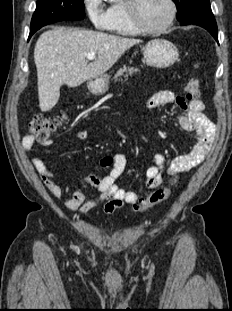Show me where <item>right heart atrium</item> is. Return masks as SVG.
Listing matches in <instances>:
<instances>
[{
	"mask_svg": "<svg viewBox=\"0 0 232 311\" xmlns=\"http://www.w3.org/2000/svg\"><path fill=\"white\" fill-rule=\"evenodd\" d=\"M84 9L97 30H104L109 23L108 9L104 7L103 0H83Z\"/></svg>",
	"mask_w": 232,
	"mask_h": 311,
	"instance_id": "obj_1",
	"label": "right heart atrium"
}]
</instances>
